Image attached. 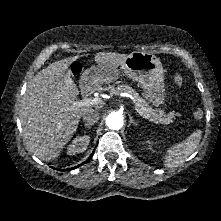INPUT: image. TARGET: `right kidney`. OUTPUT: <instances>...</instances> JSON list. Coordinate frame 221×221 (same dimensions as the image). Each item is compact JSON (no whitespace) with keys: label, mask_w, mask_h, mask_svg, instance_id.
Instances as JSON below:
<instances>
[{"label":"right kidney","mask_w":221,"mask_h":221,"mask_svg":"<svg viewBox=\"0 0 221 221\" xmlns=\"http://www.w3.org/2000/svg\"><path fill=\"white\" fill-rule=\"evenodd\" d=\"M90 142L88 135L76 137L67 148L68 155H75L76 153H82L86 151Z\"/></svg>","instance_id":"1"}]
</instances>
